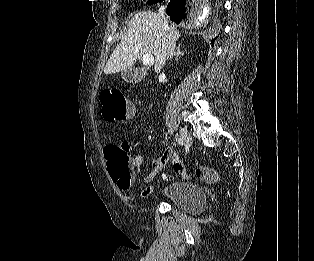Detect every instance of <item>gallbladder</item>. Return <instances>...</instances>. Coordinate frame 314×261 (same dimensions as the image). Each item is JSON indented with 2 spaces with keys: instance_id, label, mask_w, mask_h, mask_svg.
Segmentation results:
<instances>
[{
  "instance_id": "gallbladder-1",
  "label": "gallbladder",
  "mask_w": 314,
  "mask_h": 261,
  "mask_svg": "<svg viewBox=\"0 0 314 261\" xmlns=\"http://www.w3.org/2000/svg\"><path fill=\"white\" fill-rule=\"evenodd\" d=\"M146 70L143 68H131L121 74V78L127 83H139L144 79Z\"/></svg>"
}]
</instances>
